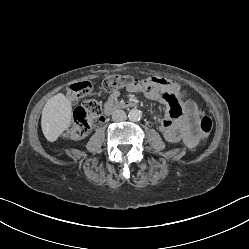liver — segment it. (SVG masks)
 <instances>
[{
    "label": "liver",
    "instance_id": "1",
    "mask_svg": "<svg viewBox=\"0 0 249 249\" xmlns=\"http://www.w3.org/2000/svg\"><path fill=\"white\" fill-rule=\"evenodd\" d=\"M72 103L62 93L51 97L42 111L41 127L45 138L54 142L70 126Z\"/></svg>",
    "mask_w": 249,
    "mask_h": 249
}]
</instances>
